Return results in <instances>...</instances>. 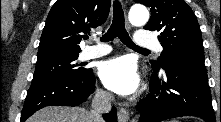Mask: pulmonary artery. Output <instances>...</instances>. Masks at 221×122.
Returning <instances> with one entry per match:
<instances>
[{
  "label": "pulmonary artery",
  "instance_id": "e3ab8cb5",
  "mask_svg": "<svg viewBox=\"0 0 221 122\" xmlns=\"http://www.w3.org/2000/svg\"><path fill=\"white\" fill-rule=\"evenodd\" d=\"M97 42V39H93ZM136 45L144 49H154L156 52L162 51V46L155 36L149 34L145 31H140L135 38ZM111 48L108 45L97 43L93 46L86 47L81 53V58L88 60L93 58H98L108 54Z\"/></svg>",
  "mask_w": 221,
  "mask_h": 122
}]
</instances>
